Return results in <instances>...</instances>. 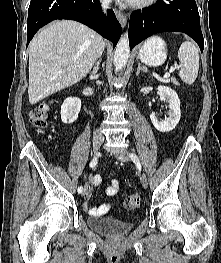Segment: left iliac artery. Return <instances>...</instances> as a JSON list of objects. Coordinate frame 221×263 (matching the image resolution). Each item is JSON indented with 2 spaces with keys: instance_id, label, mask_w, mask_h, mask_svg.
I'll use <instances>...</instances> for the list:
<instances>
[{
  "instance_id": "1",
  "label": "left iliac artery",
  "mask_w": 221,
  "mask_h": 263,
  "mask_svg": "<svg viewBox=\"0 0 221 263\" xmlns=\"http://www.w3.org/2000/svg\"><path fill=\"white\" fill-rule=\"evenodd\" d=\"M129 156H130V158H131L134 162H138V157H137L136 154L130 153Z\"/></svg>"
}]
</instances>
